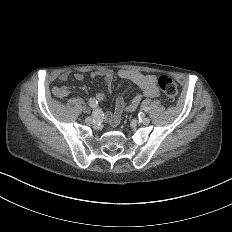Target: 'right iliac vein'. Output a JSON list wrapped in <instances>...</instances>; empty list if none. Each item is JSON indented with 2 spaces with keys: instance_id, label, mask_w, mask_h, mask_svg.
Returning a JSON list of instances; mask_svg holds the SVG:
<instances>
[{
  "instance_id": "1",
  "label": "right iliac vein",
  "mask_w": 232,
  "mask_h": 232,
  "mask_svg": "<svg viewBox=\"0 0 232 232\" xmlns=\"http://www.w3.org/2000/svg\"><path fill=\"white\" fill-rule=\"evenodd\" d=\"M84 122L87 123L88 125L92 124V117L88 116L87 118L84 119Z\"/></svg>"
}]
</instances>
